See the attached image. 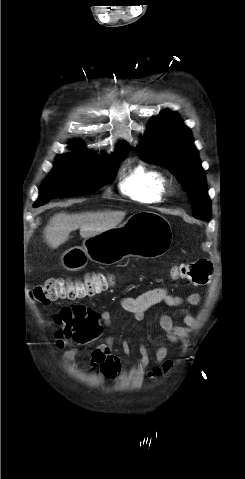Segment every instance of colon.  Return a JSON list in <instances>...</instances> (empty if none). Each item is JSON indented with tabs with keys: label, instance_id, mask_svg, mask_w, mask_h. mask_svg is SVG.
Returning <instances> with one entry per match:
<instances>
[{
	"label": "colon",
	"instance_id": "1",
	"mask_svg": "<svg viewBox=\"0 0 245 479\" xmlns=\"http://www.w3.org/2000/svg\"><path fill=\"white\" fill-rule=\"evenodd\" d=\"M213 266L207 259H198L175 266L173 275L195 285H205L210 281ZM114 283V277L102 272H88L80 279L70 277L50 278L30 291L31 298L41 304L58 299H79L99 294ZM91 311L82 305L65 307L55 316L59 325L56 336L79 339L87 324ZM171 363L167 362L164 371Z\"/></svg>",
	"mask_w": 245,
	"mask_h": 479
}]
</instances>
